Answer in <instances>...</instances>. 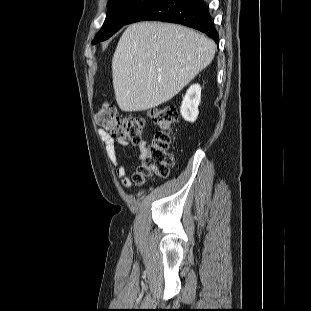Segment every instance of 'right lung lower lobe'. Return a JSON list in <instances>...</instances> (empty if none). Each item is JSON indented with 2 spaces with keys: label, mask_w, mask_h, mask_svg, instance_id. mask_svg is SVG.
Instances as JSON below:
<instances>
[{
  "label": "right lung lower lobe",
  "mask_w": 311,
  "mask_h": 311,
  "mask_svg": "<svg viewBox=\"0 0 311 311\" xmlns=\"http://www.w3.org/2000/svg\"><path fill=\"white\" fill-rule=\"evenodd\" d=\"M144 20L182 24L205 33L217 44L219 42V35L203 0H154L139 10L127 24Z\"/></svg>",
  "instance_id": "1"
}]
</instances>
